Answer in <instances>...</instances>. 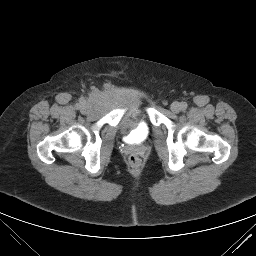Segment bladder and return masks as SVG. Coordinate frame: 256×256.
<instances>
[{"label":"bladder","instance_id":"1","mask_svg":"<svg viewBox=\"0 0 256 256\" xmlns=\"http://www.w3.org/2000/svg\"><path fill=\"white\" fill-rule=\"evenodd\" d=\"M100 99L122 110L118 122L120 130L127 134L132 132L135 135V142H141L147 138L149 128L138 119L140 99L137 96L128 93H103Z\"/></svg>","mask_w":256,"mask_h":256}]
</instances>
